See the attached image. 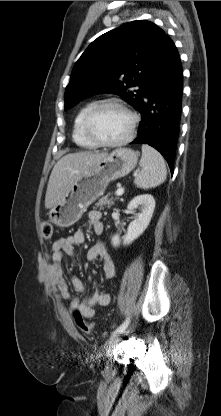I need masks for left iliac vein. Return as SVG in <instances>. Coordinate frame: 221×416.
<instances>
[{
  "mask_svg": "<svg viewBox=\"0 0 221 416\" xmlns=\"http://www.w3.org/2000/svg\"><path fill=\"white\" fill-rule=\"evenodd\" d=\"M131 329H128L124 332H122L123 334H128L130 332ZM120 339H119V335H115V336H111V338L108 340L107 342V346H106V350L108 352L112 351L119 343Z\"/></svg>",
  "mask_w": 221,
  "mask_h": 416,
  "instance_id": "left-iliac-vein-1",
  "label": "left iliac vein"
}]
</instances>
